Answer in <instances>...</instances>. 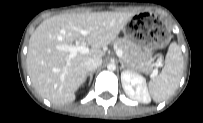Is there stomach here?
Returning a JSON list of instances; mask_svg holds the SVG:
<instances>
[{
  "instance_id": "stomach-1",
  "label": "stomach",
  "mask_w": 203,
  "mask_h": 123,
  "mask_svg": "<svg viewBox=\"0 0 203 123\" xmlns=\"http://www.w3.org/2000/svg\"><path fill=\"white\" fill-rule=\"evenodd\" d=\"M123 32L128 40L143 49L150 58L171 40L167 26L152 15H144L139 22L136 20L131 26L124 27Z\"/></svg>"
}]
</instances>
